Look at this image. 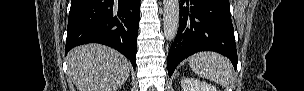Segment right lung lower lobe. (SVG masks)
I'll use <instances>...</instances> for the list:
<instances>
[{
    "label": "right lung lower lobe",
    "mask_w": 304,
    "mask_h": 91,
    "mask_svg": "<svg viewBox=\"0 0 304 91\" xmlns=\"http://www.w3.org/2000/svg\"><path fill=\"white\" fill-rule=\"evenodd\" d=\"M140 0H72L65 52L85 43L108 45L135 69Z\"/></svg>",
    "instance_id": "right-lung-lower-lobe-1"
}]
</instances>
